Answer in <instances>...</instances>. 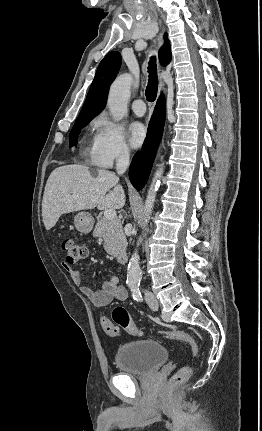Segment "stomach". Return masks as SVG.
<instances>
[{
    "instance_id": "0dacf381",
    "label": "stomach",
    "mask_w": 262,
    "mask_h": 431,
    "mask_svg": "<svg viewBox=\"0 0 262 431\" xmlns=\"http://www.w3.org/2000/svg\"><path fill=\"white\" fill-rule=\"evenodd\" d=\"M75 228L82 234L91 232L94 225V218L88 212H79L74 217Z\"/></svg>"
}]
</instances>
